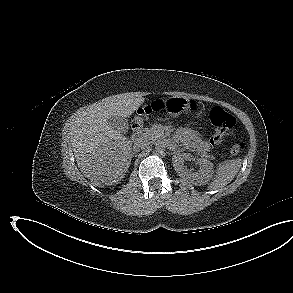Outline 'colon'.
<instances>
[{
  "instance_id": "5ec220e1",
  "label": "colon",
  "mask_w": 293,
  "mask_h": 293,
  "mask_svg": "<svg viewBox=\"0 0 293 293\" xmlns=\"http://www.w3.org/2000/svg\"><path fill=\"white\" fill-rule=\"evenodd\" d=\"M160 108V103H153L140 109L137 116L133 119V128L136 129L140 127L146 116L160 110ZM210 121L215 129L211 138L212 144H219L236 124L235 117L220 107H214L211 109ZM243 148L244 144L241 141H234L230 147V153L231 155L236 156L243 150Z\"/></svg>"
}]
</instances>
